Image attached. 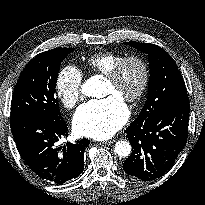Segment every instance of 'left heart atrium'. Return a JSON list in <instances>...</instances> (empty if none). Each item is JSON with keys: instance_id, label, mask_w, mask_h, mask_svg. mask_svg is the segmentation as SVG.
Returning a JSON list of instances; mask_svg holds the SVG:
<instances>
[{"instance_id": "39dd6f15", "label": "left heart atrium", "mask_w": 205, "mask_h": 205, "mask_svg": "<svg viewBox=\"0 0 205 205\" xmlns=\"http://www.w3.org/2000/svg\"><path fill=\"white\" fill-rule=\"evenodd\" d=\"M128 115L129 111L123 100L108 96L83 104L75 113L73 126L79 135L106 139L125 124Z\"/></svg>"}]
</instances>
